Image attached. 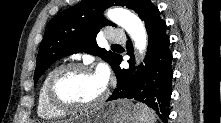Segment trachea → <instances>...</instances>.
I'll return each instance as SVG.
<instances>
[{"label": "trachea", "instance_id": "obj_1", "mask_svg": "<svg viewBox=\"0 0 221 123\" xmlns=\"http://www.w3.org/2000/svg\"><path fill=\"white\" fill-rule=\"evenodd\" d=\"M113 46H119V45L115 44V45H113Z\"/></svg>", "mask_w": 221, "mask_h": 123}]
</instances>
